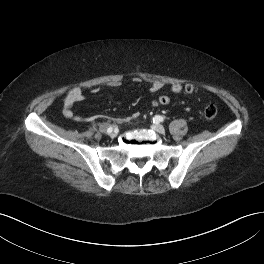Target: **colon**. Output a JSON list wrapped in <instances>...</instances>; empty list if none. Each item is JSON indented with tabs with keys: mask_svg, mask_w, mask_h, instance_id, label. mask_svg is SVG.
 Here are the masks:
<instances>
[{
	"mask_svg": "<svg viewBox=\"0 0 264 264\" xmlns=\"http://www.w3.org/2000/svg\"><path fill=\"white\" fill-rule=\"evenodd\" d=\"M183 89L187 94H192L195 91V87L192 84H186ZM170 102H171L170 97L166 95H162L158 98L159 105L166 106L169 105ZM216 115H217V108L214 105H207L203 109V116L207 119H213L216 117Z\"/></svg>",
	"mask_w": 264,
	"mask_h": 264,
	"instance_id": "1",
	"label": "colon"
}]
</instances>
